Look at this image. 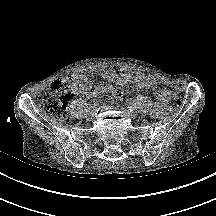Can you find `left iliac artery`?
Wrapping results in <instances>:
<instances>
[{
	"label": "left iliac artery",
	"instance_id": "obj_1",
	"mask_svg": "<svg viewBox=\"0 0 216 216\" xmlns=\"http://www.w3.org/2000/svg\"><path fill=\"white\" fill-rule=\"evenodd\" d=\"M128 109L130 110V111H135L136 110V105L135 104H129L128 105Z\"/></svg>",
	"mask_w": 216,
	"mask_h": 216
}]
</instances>
